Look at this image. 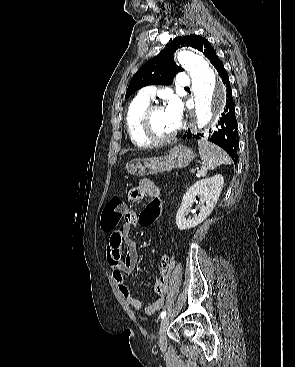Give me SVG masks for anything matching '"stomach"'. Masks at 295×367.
<instances>
[{
    "label": "stomach",
    "mask_w": 295,
    "mask_h": 367,
    "mask_svg": "<svg viewBox=\"0 0 295 367\" xmlns=\"http://www.w3.org/2000/svg\"><path fill=\"white\" fill-rule=\"evenodd\" d=\"M193 159L194 153L190 148L177 145L166 156L138 159L130 162L127 165V171L132 175L141 177L185 168Z\"/></svg>",
    "instance_id": "obj_1"
}]
</instances>
